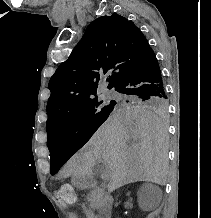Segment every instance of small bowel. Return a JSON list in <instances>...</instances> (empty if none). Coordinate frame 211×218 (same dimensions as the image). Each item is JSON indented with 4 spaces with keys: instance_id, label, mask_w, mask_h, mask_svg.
Masks as SVG:
<instances>
[{
    "instance_id": "c3829d8e",
    "label": "small bowel",
    "mask_w": 211,
    "mask_h": 218,
    "mask_svg": "<svg viewBox=\"0 0 211 218\" xmlns=\"http://www.w3.org/2000/svg\"><path fill=\"white\" fill-rule=\"evenodd\" d=\"M85 214H86L87 218H94L93 215L91 214V212H89L86 209H85Z\"/></svg>"
}]
</instances>
